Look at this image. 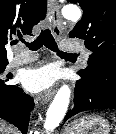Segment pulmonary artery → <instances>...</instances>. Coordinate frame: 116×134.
<instances>
[{
    "instance_id": "1",
    "label": "pulmonary artery",
    "mask_w": 116,
    "mask_h": 134,
    "mask_svg": "<svg viewBox=\"0 0 116 134\" xmlns=\"http://www.w3.org/2000/svg\"><path fill=\"white\" fill-rule=\"evenodd\" d=\"M17 54L11 59L9 66L10 67H17L22 66L28 63H31L37 59L36 55L27 54L22 50L21 45L16 46ZM61 49L64 52H80L87 62L89 58V52L86 49H83L80 43L71 40H63L61 42Z\"/></svg>"
}]
</instances>
